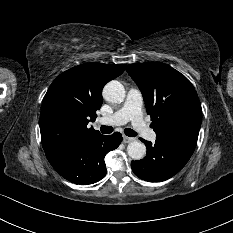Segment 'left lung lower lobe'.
I'll return each instance as SVG.
<instances>
[{
  "mask_svg": "<svg viewBox=\"0 0 233 233\" xmlns=\"http://www.w3.org/2000/svg\"><path fill=\"white\" fill-rule=\"evenodd\" d=\"M146 145V157L132 161L136 176L149 182H161L178 173L188 162L196 142L188 139H157L154 144L141 139Z\"/></svg>",
  "mask_w": 233,
  "mask_h": 233,
  "instance_id": "0a47b994",
  "label": "left lung lower lobe"
}]
</instances>
